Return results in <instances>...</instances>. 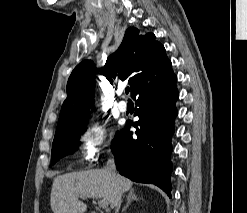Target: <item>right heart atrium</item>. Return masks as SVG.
Wrapping results in <instances>:
<instances>
[{
	"instance_id": "obj_1",
	"label": "right heart atrium",
	"mask_w": 247,
	"mask_h": 213,
	"mask_svg": "<svg viewBox=\"0 0 247 213\" xmlns=\"http://www.w3.org/2000/svg\"><path fill=\"white\" fill-rule=\"evenodd\" d=\"M109 140L105 125L94 122L87 124L80 134V156L89 162L97 160L100 153L108 150Z\"/></svg>"
}]
</instances>
